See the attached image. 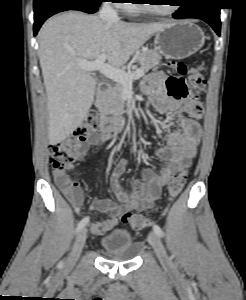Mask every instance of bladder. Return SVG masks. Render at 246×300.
<instances>
[{"label":"bladder","instance_id":"31cf9c89","mask_svg":"<svg viewBox=\"0 0 246 300\" xmlns=\"http://www.w3.org/2000/svg\"><path fill=\"white\" fill-rule=\"evenodd\" d=\"M100 245L106 255L123 261L135 259L140 250L139 245L133 240L130 232L123 228L107 232L102 236Z\"/></svg>","mask_w":246,"mask_h":300}]
</instances>
